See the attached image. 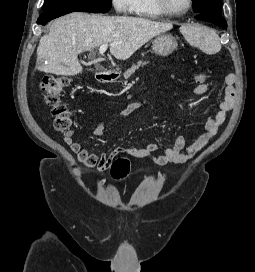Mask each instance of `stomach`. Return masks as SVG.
<instances>
[{
	"mask_svg": "<svg viewBox=\"0 0 255 272\" xmlns=\"http://www.w3.org/2000/svg\"><path fill=\"white\" fill-rule=\"evenodd\" d=\"M177 48V41L167 33H161L152 41V49L155 54L160 56H168Z\"/></svg>",
	"mask_w": 255,
	"mask_h": 272,
	"instance_id": "stomach-1",
	"label": "stomach"
}]
</instances>
